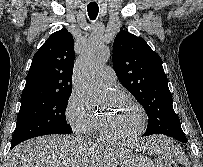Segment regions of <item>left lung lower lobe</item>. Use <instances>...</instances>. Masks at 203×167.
<instances>
[{
	"label": "left lung lower lobe",
	"instance_id": "obj_1",
	"mask_svg": "<svg viewBox=\"0 0 203 167\" xmlns=\"http://www.w3.org/2000/svg\"><path fill=\"white\" fill-rule=\"evenodd\" d=\"M143 136H146V135H143ZM168 136V135H167ZM170 137H173L174 139L180 141V142H184L186 143L187 142V139L185 136L183 135H180V134H172Z\"/></svg>",
	"mask_w": 203,
	"mask_h": 167
}]
</instances>
